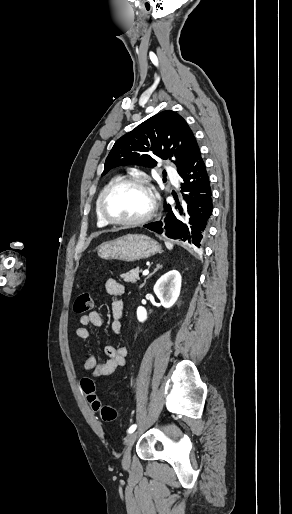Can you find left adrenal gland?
<instances>
[{"label":"left adrenal gland","mask_w":292,"mask_h":514,"mask_svg":"<svg viewBox=\"0 0 292 514\" xmlns=\"http://www.w3.org/2000/svg\"><path fill=\"white\" fill-rule=\"evenodd\" d=\"M160 268H162V266H160V264H156V268H155L154 272H152V274H149L148 278H151V276H153V274H155V272H158V270H160ZM148 278H146V280H148ZM146 280H144V284H141L140 288H143V286H145Z\"/></svg>","instance_id":"obj_1"}]
</instances>
